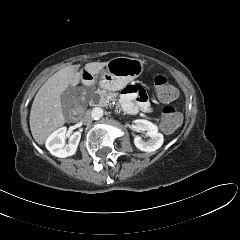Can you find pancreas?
<instances>
[{
  "label": "pancreas",
  "instance_id": "1",
  "mask_svg": "<svg viewBox=\"0 0 240 240\" xmlns=\"http://www.w3.org/2000/svg\"><path fill=\"white\" fill-rule=\"evenodd\" d=\"M99 99H98V106L106 107L109 105V100H108V93L105 90H97L95 92Z\"/></svg>",
  "mask_w": 240,
  "mask_h": 240
}]
</instances>
